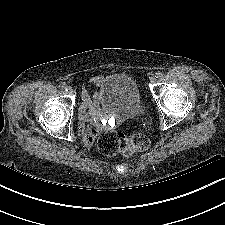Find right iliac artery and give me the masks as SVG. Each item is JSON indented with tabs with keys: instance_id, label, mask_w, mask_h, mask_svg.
Returning a JSON list of instances; mask_svg holds the SVG:
<instances>
[{
	"instance_id": "obj_1",
	"label": "right iliac artery",
	"mask_w": 225,
	"mask_h": 225,
	"mask_svg": "<svg viewBox=\"0 0 225 225\" xmlns=\"http://www.w3.org/2000/svg\"><path fill=\"white\" fill-rule=\"evenodd\" d=\"M61 87H62V89H63L64 91H68V88H69V86H68V85L63 84Z\"/></svg>"
}]
</instances>
